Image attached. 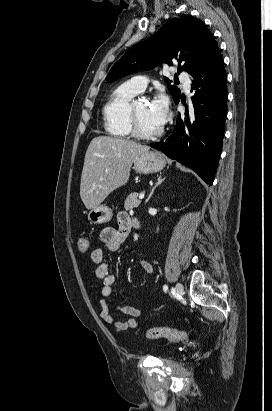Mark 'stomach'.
Here are the masks:
<instances>
[{
    "label": "stomach",
    "instance_id": "obj_1",
    "mask_svg": "<svg viewBox=\"0 0 272 411\" xmlns=\"http://www.w3.org/2000/svg\"><path fill=\"white\" fill-rule=\"evenodd\" d=\"M133 170L137 173L150 174L161 171L165 165V159L159 152L147 151L133 160ZM112 210L106 205H99L88 214L92 224H104L111 220Z\"/></svg>",
    "mask_w": 272,
    "mask_h": 411
}]
</instances>
